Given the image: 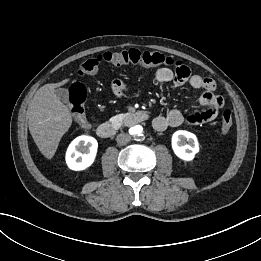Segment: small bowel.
I'll return each mask as SVG.
<instances>
[{"instance_id":"c3829d8e","label":"small bowel","mask_w":261,"mask_h":261,"mask_svg":"<svg viewBox=\"0 0 261 261\" xmlns=\"http://www.w3.org/2000/svg\"><path fill=\"white\" fill-rule=\"evenodd\" d=\"M155 79L159 83H173L176 87L189 85L193 89L203 90L199 98V104L204 108L187 117L179 110L171 109L166 115L157 116L153 120V127L157 131H164L169 127H177L184 122L191 125H199L213 121L224 104L223 98L215 93L216 84L212 79L204 78L198 74H191L190 69L183 64L176 67L175 71L166 67L160 68L155 73ZM123 90V85L120 82H116L115 91L121 92Z\"/></svg>"}]
</instances>
